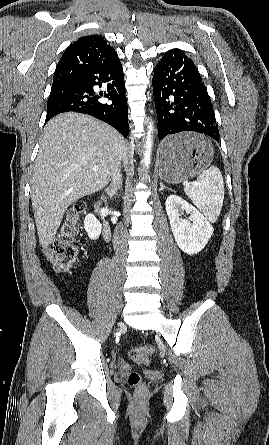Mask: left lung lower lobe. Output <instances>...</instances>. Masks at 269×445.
<instances>
[{
	"label": "left lung lower lobe",
	"instance_id": "left-lung-lower-lobe-1",
	"mask_svg": "<svg viewBox=\"0 0 269 445\" xmlns=\"http://www.w3.org/2000/svg\"><path fill=\"white\" fill-rule=\"evenodd\" d=\"M158 117V136L184 131L205 134L219 141L213 105L194 62L180 49L167 51L155 66L152 79ZM180 146L167 143L163 153L177 154Z\"/></svg>",
	"mask_w": 269,
	"mask_h": 445
}]
</instances>
